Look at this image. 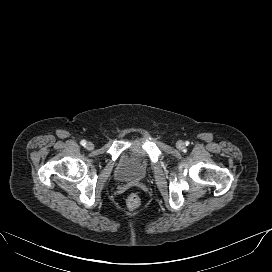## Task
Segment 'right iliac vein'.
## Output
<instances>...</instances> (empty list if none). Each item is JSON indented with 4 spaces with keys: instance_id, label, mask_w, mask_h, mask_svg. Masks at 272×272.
Returning a JSON list of instances; mask_svg holds the SVG:
<instances>
[{
    "instance_id": "obj_1",
    "label": "right iliac vein",
    "mask_w": 272,
    "mask_h": 272,
    "mask_svg": "<svg viewBox=\"0 0 272 272\" xmlns=\"http://www.w3.org/2000/svg\"><path fill=\"white\" fill-rule=\"evenodd\" d=\"M93 148H94V144L92 142H87L86 149L87 150H92Z\"/></svg>"
}]
</instances>
